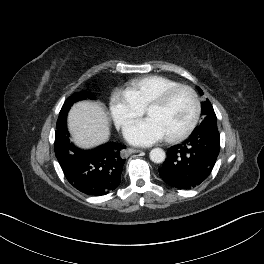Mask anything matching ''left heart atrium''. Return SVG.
Instances as JSON below:
<instances>
[{"label": "left heart atrium", "instance_id": "left-heart-atrium-1", "mask_svg": "<svg viewBox=\"0 0 264 264\" xmlns=\"http://www.w3.org/2000/svg\"><path fill=\"white\" fill-rule=\"evenodd\" d=\"M125 137L131 144L148 146L162 140L165 135L153 119L146 118L132 123L125 130Z\"/></svg>", "mask_w": 264, "mask_h": 264}]
</instances>
